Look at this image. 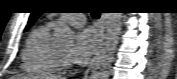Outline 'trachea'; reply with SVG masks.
Segmentation results:
<instances>
[{
	"mask_svg": "<svg viewBox=\"0 0 177 79\" xmlns=\"http://www.w3.org/2000/svg\"><path fill=\"white\" fill-rule=\"evenodd\" d=\"M92 17H93L94 19H98V18H99V14H92Z\"/></svg>",
	"mask_w": 177,
	"mask_h": 79,
	"instance_id": "3493384b",
	"label": "trachea"
}]
</instances>
